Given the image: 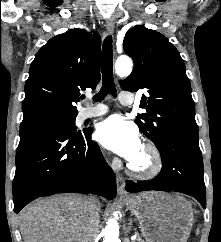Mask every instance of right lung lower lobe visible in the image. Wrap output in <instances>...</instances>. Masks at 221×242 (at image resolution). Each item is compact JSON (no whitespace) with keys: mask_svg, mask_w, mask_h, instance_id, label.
<instances>
[{"mask_svg":"<svg viewBox=\"0 0 221 242\" xmlns=\"http://www.w3.org/2000/svg\"><path fill=\"white\" fill-rule=\"evenodd\" d=\"M91 133L43 123L20 128L13 181L16 213L34 199L56 193L115 197V175Z\"/></svg>","mask_w":221,"mask_h":242,"instance_id":"1","label":"right lung lower lobe"}]
</instances>
